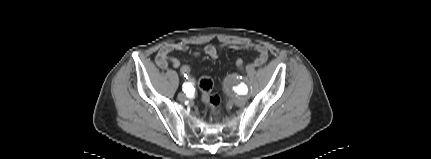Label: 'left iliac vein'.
<instances>
[{
  "instance_id": "left-iliac-vein-1",
  "label": "left iliac vein",
  "mask_w": 431,
  "mask_h": 159,
  "mask_svg": "<svg viewBox=\"0 0 431 159\" xmlns=\"http://www.w3.org/2000/svg\"><path fill=\"white\" fill-rule=\"evenodd\" d=\"M245 100H246V98H245V97H239V98L236 100V103H237L238 105H243V104L245 103Z\"/></svg>"
}]
</instances>
